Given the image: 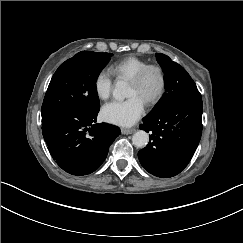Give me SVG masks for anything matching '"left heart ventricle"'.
Listing matches in <instances>:
<instances>
[{
    "instance_id": "1",
    "label": "left heart ventricle",
    "mask_w": 243,
    "mask_h": 243,
    "mask_svg": "<svg viewBox=\"0 0 243 243\" xmlns=\"http://www.w3.org/2000/svg\"><path fill=\"white\" fill-rule=\"evenodd\" d=\"M161 85L162 79L159 72L152 69L145 75L141 83L129 82L127 96L138 95L147 104L149 100L158 95Z\"/></svg>"
}]
</instances>
